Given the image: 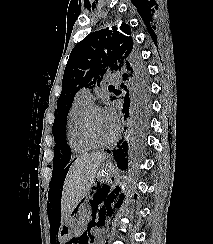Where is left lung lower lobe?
<instances>
[{"label": "left lung lower lobe", "instance_id": "1", "mask_svg": "<svg viewBox=\"0 0 213 244\" xmlns=\"http://www.w3.org/2000/svg\"><path fill=\"white\" fill-rule=\"evenodd\" d=\"M122 112L125 113V117H129L130 119L128 140L130 148L137 152L141 151L145 146V138L148 131L150 113L143 108L131 107L126 103H124ZM127 148L128 145L126 142H124L118 147V149L113 150L117 165L122 170H125L128 164L126 158V156H128ZM107 151L111 152L110 150ZM92 207L96 210L98 205H95V203L92 202Z\"/></svg>", "mask_w": 213, "mask_h": 244}]
</instances>
